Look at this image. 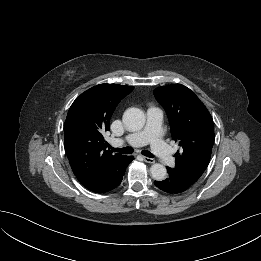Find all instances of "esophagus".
<instances>
[{
    "instance_id": "esophagus-1",
    "label": "esophagus",
    "mask_w": 261,
    "mask_h": 261,
    "mask_svg": "<svg viewBox=\"0 0 261 261\" xmlns=\"http://www.w3.org/2000/svg\"><path fill=\"white\" fill-rule=\"evenodd\" d=\"M143 160L147 163H154L155 160L153 158H149V157H146V156H143Z\"/></svg>"
}]
</instances>
